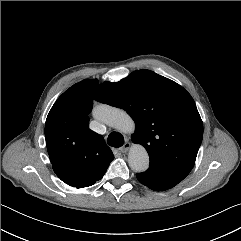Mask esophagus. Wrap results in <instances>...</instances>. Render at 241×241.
<instances>
[{"instance_id": "1", "label": "esophagus", "mask_w": 241, "mask_h": 241, "mask_svg": "<svg viewBox=\"0 0 241 241\" xmlns=\"http://www.w3.org/2000/svg\"><path fill=\"white\" fill-rule=\"evenodd\" d=\"M129 148H130V143L126 141L124 145L121 148H119V152L126 153L129 150Z\"/></svg>"}]
</instances>
